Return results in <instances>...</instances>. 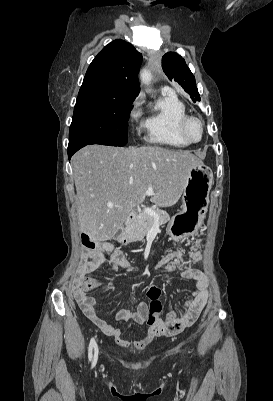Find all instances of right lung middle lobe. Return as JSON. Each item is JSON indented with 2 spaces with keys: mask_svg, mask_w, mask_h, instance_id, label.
Masks as SVG:
<instances>
[{
  "mask_svg": "<svg viewBox=\"0 0 273 401\" xmlns=\"http://www.w3.org/2000/svg\"><path fill=\"white\" fill-rule=\"evenodd\" d=\"M131 105L132 102L118 99L77 97L69 144L125 145Z\"/></svg>",
  "mask_w": 273,
  "mask_h": 401,
  "instance_id": "obj_1",
  "label": "right lung middle lobe"
}]
</instances>
